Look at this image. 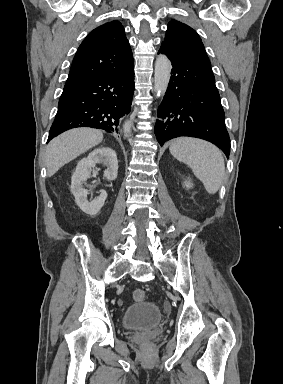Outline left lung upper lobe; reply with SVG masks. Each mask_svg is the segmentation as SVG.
<instances>
[{
    "instance_id": "1",
    "label": "left lung upper lobe",
    "mask_w": 283,
    "mask_h": 384,
    "mask_svg": "<svg viewBox=\"0 0 283 384\" xmlns=\"http://www.w3.org/2000/svg\"><path fill=\"white\" fill-rule=\"evenodd\" d=\"M162 44L173 52L210 64L201 38L194 29L184 23L171 20Z\"/></svg>"
}]
</instances>
